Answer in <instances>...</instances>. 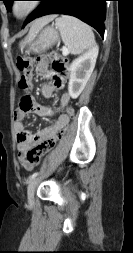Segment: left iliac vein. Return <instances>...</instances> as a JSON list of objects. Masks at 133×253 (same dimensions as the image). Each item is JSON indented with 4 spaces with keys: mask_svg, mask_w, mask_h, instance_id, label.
<instances>
[{
    "mask_svg": "<svg viewBox=\"0 0 133 253\" xmlns=\"http://www.w3.org/2000/svg\"><path fill=\"white\" fill-rule=\"evenodd\" d=\"M39 181H40L39 178H34L33 180L30 181L28 185L27 196H28V202L30 205L34 203V191Z\"/></svg>",
    "mask_w": 133,
    "mask_h": 253,
    "instance_id": "1",
    "label": "left iliac vein"
}]
</instances>
